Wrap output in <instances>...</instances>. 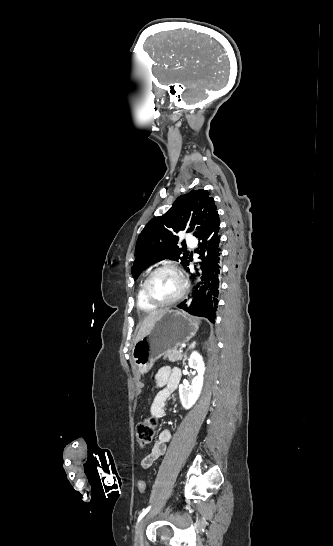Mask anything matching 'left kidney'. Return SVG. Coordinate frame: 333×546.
<instances>
[{"label":"left kidney","mask_w":333,"mask_h":546,"mask_svg":"<svg viewBox=\"0 0 333 546\" xmlns=\"http://www.w3.org/2000/svg\"><path fill=\"white\" fill-rule=\"evenodd\" d=\"M188 365L190 368L195 369L198 372V375L193 379L192 386H179L181 404L185 409H190L199 398L203 386V375L205 372V365L202 356L197 351L192 352Z\"/></svg>","instance_id":"obj_1"}]
</instances>
